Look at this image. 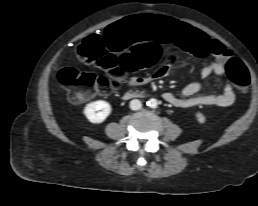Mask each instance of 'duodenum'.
I'll list each match as a JSON object with an SVG mask.
<instances>
[{"label": "duodenum", "mask_w": 258, "mask_h": 206, "mask_svg": "<svg viewBox=\"0 0 258 206\" xmlns=\"http://www.w3.org/2000/svg\"><path fill=\"white\" fill-rule=\"evenodd\" d=\"M145 95H146L145 92H138V91L131 90V91L126 92L124 94L123 98L125 100H128V99L135 98V97H143Z\"/></svg>", "instance_id": "duodenum-1"}]
</instances>
